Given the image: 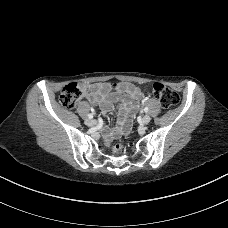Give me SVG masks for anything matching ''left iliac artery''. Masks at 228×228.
Listing matches in <instances>:
<instances>
[{
	"label": "left iliac artery",
	"mask_w": 228,
	"mask_h": 228,
	"mask_svg": "<svg viewBox=\"0 0 228 228\" xmlns=\"http://www.w3.org/2000/svg\"><path fill=\"white\" fill-rule=\"evenodd\" d=\"M148 111H149V109H148L147 107H145V108H144V112L147 113Z\"/></svg>",
	"instance_id": "44dca946"
}]
</instances>
